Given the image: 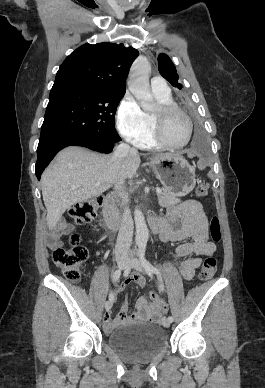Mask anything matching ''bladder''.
<instances>
[{
    "instance_id": "31cf9c89",
    "label": "bladder",
    "mask_w": 265,
    "mask_h": 388,
    "mask_svg": "<svg viewBox=\"0 0 265 388\" xmlns=\"http://www.w3.org/2000/svg\"><path fill=\"white\" fill-rule=\"evenodd\" d=\"M168 334L156 323L124 326L108 335L107 346L120 356L139 362L149 359L166 345Z\"/></svg>"
}]
</instances>
